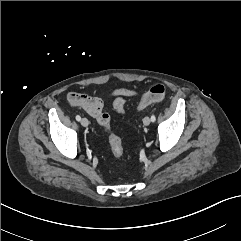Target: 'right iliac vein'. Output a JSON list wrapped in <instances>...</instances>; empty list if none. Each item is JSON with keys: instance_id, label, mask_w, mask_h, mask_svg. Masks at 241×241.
Returning <instances> with one entry per match:
<instances>
[{"instance_id": "obj_1", "label": "right iliac vein", "mask_w": 241, "mask_h": 241, "mask_svg": "<svg viewBox=\"0 0 241 241\" xmlns=\"http://www.w3.org/2000/svg\"><path fill=\"white\" fill-rule=\"evenodd\" d=\"M80 122L83 127H87L89 125V121L86 118H82Z\"/></svg>"}]
</instances>
